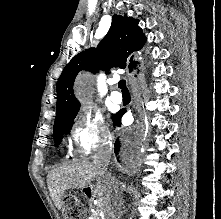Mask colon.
Wrapping results in <instances>:
<instances>
[{"label":"colon","mask_w":221,"mask_h":219,"mask_svg":"<svg viewBox=\"0 0 221 219\" xmlns=\"http://www.w3.org/2000/svg\"><path fill=\"white\" fill-rule=\"evenodd\" d=\"M65 208L68 219H79L82 215L81 206L74 196H68L65 198Z\"/></svg>","instance_id":"colon-1"}]
</instances>
